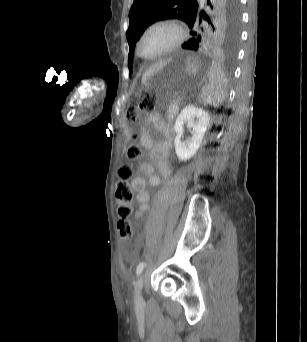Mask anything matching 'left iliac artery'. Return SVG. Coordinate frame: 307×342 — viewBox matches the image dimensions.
Returning a JSON list of instances; mask_svg holds the SVG:
<instances>
[{
	"label": "left iliac artery",
	"instance_id": "1",
	"mask_svg": "<svg viewBox=\"0 0 307 342\" xmlns=\"http://www.w3.org/2000/svg\"><path fill=\"white\" fill-rule=\"evenodd\" d=\"M145 267V262H140L136 268V274L139 276Z\"/></svg>",
	"mask_w": 307,
	"mask_h": 342
}]
</instances>
